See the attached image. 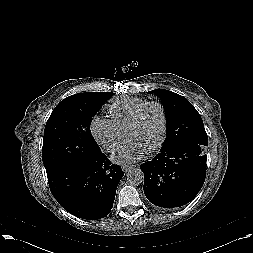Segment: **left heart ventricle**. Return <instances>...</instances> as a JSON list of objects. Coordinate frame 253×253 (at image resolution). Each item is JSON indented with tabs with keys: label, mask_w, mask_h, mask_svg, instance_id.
<instances>
[{
	"label": "left heart ventricle",
	"mask_w": 253,
	"mask_h": 253,
	"mask_svg": "<svg viewBox=\"0 0 253 253\" xmlns=\"http://www.w3.org/2000/svg\"><path fill=\"white\" fill-rule=\"evenodd\" d=\"M161 125L160 110L156 106H150L143 112L137 124L125 132V137L137 141L148 150L157 141Z\"/></svg>",
	"instance_id": "1"
}]
</instances>
